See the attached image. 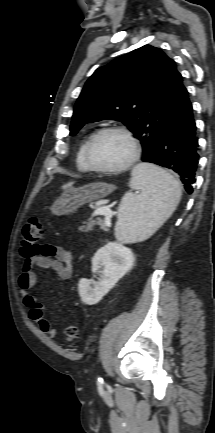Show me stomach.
<instances>
[{"mask_svg":"<svg viewBox=\"0 0 215 433\" xmlns=\"http://www.w3.org/2000/svg\"><path fill=\"white\" fill-rule=\"evenodd\" d=\"M116 187L104 182H96L65 191L52 205L51 212L55 215H66L90 203L107 197Z\"/></svg>","mask_w":215,"mask_h":433,"instance_id":"1","label":"stomach"}]
</instances>
